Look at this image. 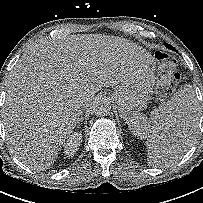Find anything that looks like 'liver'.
Here are the masks:
<instances>
[{"instance_id":"1","label":"liver","mask_w":203,"mask_h":203,"mask_svg":"<svg viewBox=\"0 0 203 203\" xmlns=\"http://www.w3.org/2000/svg\"><path fill=\"white\" fill-rule=\"evenodd\" d=\"M152 63L149 53L127 39L71 35L39 39L6 81L3 108L7 142L33 170L49 169L102 87L116 86ZM182 132V131H181ZM173 127L166 138L182 142Z\"/></svg>"}]
</instances>
